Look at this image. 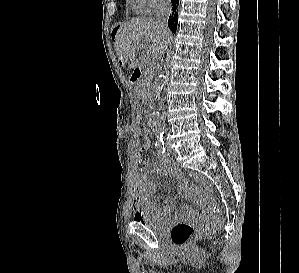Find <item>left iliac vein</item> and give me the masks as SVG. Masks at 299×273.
<instances>
[{"instance_id":"obj_1","label":"left iliac vein","mask_w":299,"mask_h":273,"mask_svg":"<svg viewBox=\"0 0 299 273\" xmlns=\"http://www.w3.org/2000/svg\"><path fill=\"white\" fill-rule=\"evenodd\" d=\"M166 148H167V150H168L169 153L173 152L172 149L170 148V145L168 143L166 144Z\"/></svg>"}]
</instances>
